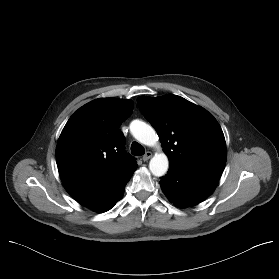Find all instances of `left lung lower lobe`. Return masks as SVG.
I'll list each match as a JSON object with an SVG mask.
<instances>
[{"instance_id":"left-lung-lower-lobe-1","label":"left lung lower lobe","mask_w":279,"mask_h":279,"mask_svg":"<svg viewBox=\"0 0 279 279\" xmlns=\"http://www.w3.org/2000/svg\"><path fill=\"white\" fill-rule=\"evenodd\" d=\"M220 176L169 165L168 174L162 177L160 185L167 198L182 208L205 200L214 191Z\"/></svg>"}]
</instances>
